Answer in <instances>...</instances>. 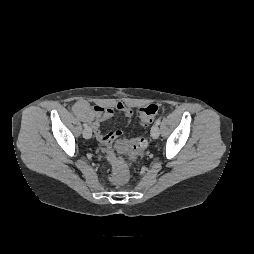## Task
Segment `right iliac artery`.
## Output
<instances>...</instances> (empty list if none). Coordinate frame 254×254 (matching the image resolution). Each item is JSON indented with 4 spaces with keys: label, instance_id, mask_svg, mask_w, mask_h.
Listing matches in <instances>:
<instances>
[{
    "label": "right iliac artery",
    "instance_id": "1",
    "mask_svg": "<svg viewBox=\"0 0 254 254\" xmlns=\"http://www.w3.org/2000/svg\"><path fill=\"white\" fill-rule=\"evenodd\" d=\"M83 126H84L85 128L88 127L87 123H84Z\"/></svg>",
    "mask_w": 254,
    "mask_h": 254
}]
</instances>
